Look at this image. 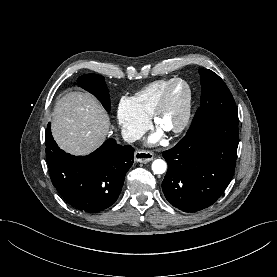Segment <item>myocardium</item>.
<instances>
[{
    "mask_svg": "<svg viewBox=\"0 0 277 277\" xmlns=\"http://www.w3.org/2000/svg\"><path fill=\"white\" fill-rule=\"evenodd\" d=\"M177 84H182L185 86L186 98H185V103L183 106L182 115H181V119H180L179 123L177 124L176 127L172 128L170 131L167 132L170 135H177V134L181 133L189 124V121L191 118L192 98H193L192 89H191V86L189 85V83L186 80L181 79V78L173 79L163 89V91L158 99V102L153 110V113L151 115V120H152L153 125L158 127V120L167 105L169 95H170L173 87L176 86Z\"/></svg>",
    "mask_w": 277,
    "mask_h": 277,
    "instance_id": "f54148a6",
    "label": "myocardium"
}]
</instances>
